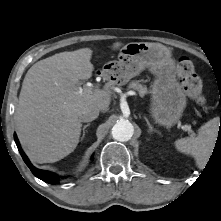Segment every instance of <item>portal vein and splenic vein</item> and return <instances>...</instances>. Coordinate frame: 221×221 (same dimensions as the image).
Wrapping results in <instances>:
<instances>
[{"mask_svg": "<svg viewBox=\"0 0 221 221\" xmlns=\"http://www.w3.org/2000/svg\"><path fill=\"white\" fill-rule=\"evenodd\" d=\"M93 86H91V85H87V89L91 92L92 91V88ZM80 93L82 92V89H80V91H79ZM185 129H188V125H185Z\"/></svg>", "mask_w": 221, "mask_h": 221, "instance_id": "obj_1", "label": "portal vein and splenic vein"}]
</instances>
